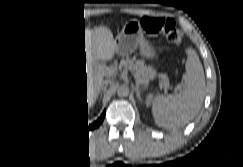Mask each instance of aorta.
<instances>
[{"mask_svg":"<svg viewBox=\"0 0 243 167\" xmlns=\"http://www.w3.org/2000/svg\"><path fill=\"white\" fill-rule=\"evenodd\" d=\"M117 94H118V96H121V97L128 96L129 88L125 85H122V86L118 87Z\"/></svg>","mask_w":243,"mask_h":167,"instance_id":"obj_1","label":"aorta"}]
</instances>
